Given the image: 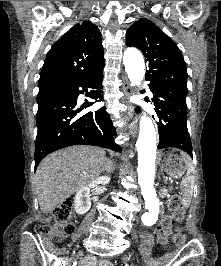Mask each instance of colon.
<instances>
[{
	"mask_svg": "<svg viewBox=\"0 0 221 266\" xmlns=\"http://www.w3.org/2000/svg\"><path fill=\"white\" fill-rule=\"evenodd\" d=\"M73 203L70 200H65L58 204L53 210L54 224L39 225L36 231L46 235H53L56 237H67L72 235L76 226L72 219ZM170 213L166 215L158 225L155 235L159 243L165 244L172 232L175 224L182 222L185 216V206L179 195H174L169 202ZM174 242L178 246L185 243V235L177 232L174 235Z\"/></svg>",
	"mask_w": 221,
	"mask_h": 266,
	"instance_id": "obj_1",
	"label": "colon"
}]
</instances>
